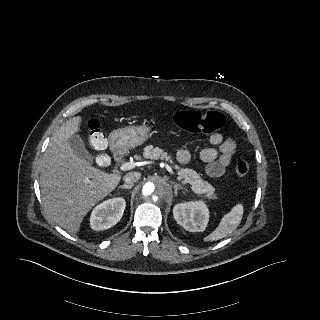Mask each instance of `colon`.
<instances>
[{
    "label": "colon",
    "instance_id": "colon-1",
    "mask_svg": "<svg viewBox=\"0 0 320 320\" xmlns=\"http://www.w3.org/2000/svg\"><path fill=\"white\" fill-rule=\"evenodd\" d=\"M174 122L179 128L188 132L211 133L223 128L226 121L224 115L216 111L203 113L196 110H183L174 115ZM88 141L91 148L96 151H101L106 146L105 134L97 120H91L88 123ZM99 159L102 165L106 164V158L103 155ZM235 173L240 179L248 175L249 165L246 160L242 158L236 160Z\"/></svg>",
    "mask_w": 320,
    "mask_h": 320
}]
</instances>
